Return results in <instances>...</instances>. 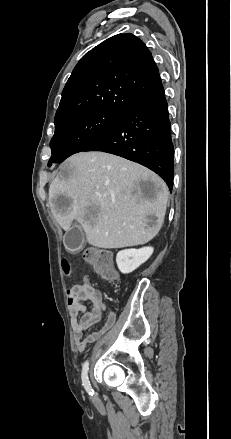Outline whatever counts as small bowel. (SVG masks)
Returning a JSON list of instances; mask_svg holds the SVG:
<instances>
[{
  "label": "small bowel",
  "mask_w": 231,
  "mask_h": 439,
  "mask_svg": "<svg viewBox=\"0 0 231 439\" xmlns=\"http://www.w3.org/2000/svg\"><path fill=\"white\" fill-rule=\"evenodd\" d=\"M67 302L76 348L79 353H83L87 344L95 342L114 324L116 316L114 312L109 311L104 327L85 336V332L98 323L106 311L101 292L93 283L85 280L71 287L67 294ZM87 302L90 303V309L86 307Z\"/></svg>",
  "instance_id": "1"
}]
</instances>
